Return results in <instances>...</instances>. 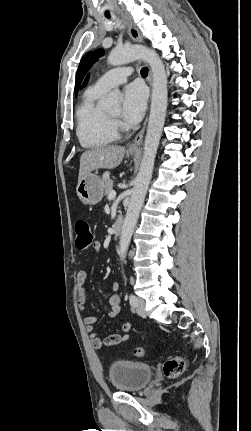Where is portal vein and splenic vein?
I'll use <instances>...</instances> for the list:
<instances>
[{"label":"portal vein and splenic vein","instance_id":"portal-vein-and-splenic-vein-1","mask_svg":"<svg viewBox=\"0 0 251 431\" xmlns=\"http://www.w3.org/2000/svg\"><path fill=\"white\" fill-rule=\"evenodd\" d=\"M115 197H116V192L115 190H112L108 195V199L113 200Z\"/></svg>","mask_w":251,"mask_h":431}]
</instances>
